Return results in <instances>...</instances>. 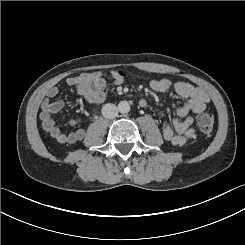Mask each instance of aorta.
Wrapping results in <instances>:
<instances>
[{
	"label": "aorta",
	"mask_w": 245,
	"mask_h": 245,
	"mask_svg": "<svg viewBox=\"0 0 245 245\" xmlns=\"http://www.w3.org/2000/svg\"><path fill=\"white\" fill-rule=\"evenodd\" d=\"M118 111L122 114L128 113L130 111V104L127 101L119 102Z\"/></svg>",
	"instance_id": "762f6f07"
}]
</instances>
